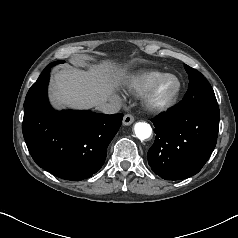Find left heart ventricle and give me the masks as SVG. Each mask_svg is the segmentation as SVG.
Returning a JSON list of instances; mask_svg holds the SVG:
<instances>
[{
	"mask_svg": "<svg viewBox=\"0 0 238 238\" xmlns=\"http://www.w3.org/2000/svg\"><path fill=\"white\" fill-rule=\"evenodd\" d=\"M177 82L173 78L164 79L158 86L156 96L158 99L168 98L176 89Z\"/></svg>",
	"mask_w": 238,
	"mask_h": 238,
	"instance_id": "1",
	"label": "left heart ventricle"
}]
</instances>
